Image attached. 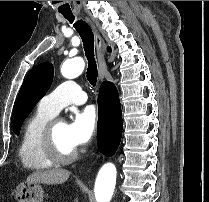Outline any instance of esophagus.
Listing matches in <instances>:
<instances>
[{"instance_id": "34e87169", "label": "esophagus", "mask_w": 209, "mask_h": 202, "mask_svg": "<svg viewBox=\"0 0 209 202\" xmlns=\"http://www.w3.org/2000/svg\"><path fill=\"white\" fill-rule=\"evenodd\" d=\"M85 19L91 25L92 30L94 32L95 45H96L97 57H98L99 77L100 79H103L108 73L106 59H105V44L102 37L98 33L95 25L88 18Z\"/></svg>"}]
</instances>
